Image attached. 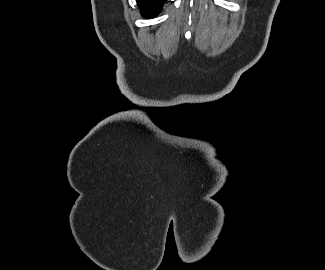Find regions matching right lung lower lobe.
I'll return each instance as SVG.
<instances>
[{"label":"right lung lower lobe","mask_w":325,"mask_h":270,"mask_svg":"<svg viewBox=\"0 0 325 270\" xmlns=\"http://www.w3.org/2000/svg\"><path fill=\"white\" fill-rule=\"evenodd\" d=\"M166 0H137L138 5L141 7V13L146 18L156 16L165 3Z\"/></svg>","instance_id":"98d812e1"}]
</instances>
